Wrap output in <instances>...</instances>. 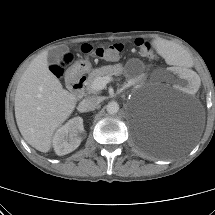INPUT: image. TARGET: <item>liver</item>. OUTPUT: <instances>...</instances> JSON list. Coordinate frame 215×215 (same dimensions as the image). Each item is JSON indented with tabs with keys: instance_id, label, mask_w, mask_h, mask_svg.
Instances as JSON below:
<instances>
[{
	"instance_id": "obj_1",
	"label": "liver",
	"mask_w": 215,
	"mask_h": 215,
	"mask_svg": "<svg viewBox=\"0 0 215 215\" xmlns=\"http://www.w3.org/2000/svg\"><path fill=\"white\" fill-rule=\"evenodd\" d=\"M47 57L45 51L31 61L15 94L19 131L29 145L44 153L51 149L55 130L71 115L77 102L49 70Z\"/></svg>"
}]
</instances>
